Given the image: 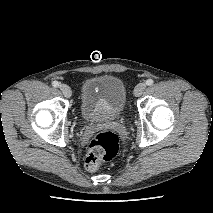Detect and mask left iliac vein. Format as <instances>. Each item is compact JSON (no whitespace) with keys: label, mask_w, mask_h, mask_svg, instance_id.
<instances>
[{"label":"left iliac vein","mask_w":213,"mask_h":213,"mask_svg":"<svg viewBox=\"0 0 213 213\" xmlns=\"http://www.w3.org/2000/svg\"><path fill=\"white\" fill-rule=\"evenodd\" d=\"M145 88H146L145 83H139V84L135 87V89H134V95H135L136 97H139L140 95H142V93L144 92Z\"/></svg>","instance_id":"obj_1"}]
</instances>
